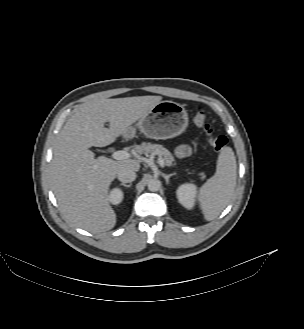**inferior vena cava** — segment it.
Instances as JSON below:
<instances>
[{
    "label": "inferior vena cava",
    "instance_id": "1",
    "mask_svg": "<svg viewBox=\"0 0 304 329\" xmlns=\"http://www.w3.org/2000/svg\"><path fill=\"white\" fill-rule=\"evenodd\" d=\"M118 180L123 183H131L136 179V173L135 171L131 169H121L117 173Z\"/></svg>",
    "mask_w": 304,
    "mask_h": 329
}]
</instances>
